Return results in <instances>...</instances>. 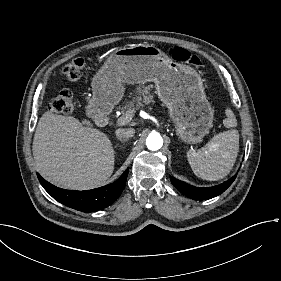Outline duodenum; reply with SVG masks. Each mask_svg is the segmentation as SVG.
<instances>
[{
  "label": "duodenum",
  "mask_w": 281,
  "mask_h": 281,
  "mask_svg": "<svg viewBox=\"0 0 281 281\" xmlns=\"http://www.w3.org/2000/svg\"><path fill=\"white\" fill-rule=\"evenodd\" d=\"M110 122V117L107 114H98L95 117V124L98 127H105Z\"/></svg>",
  "instance_id": "410a0bca"
}]
</instances>
